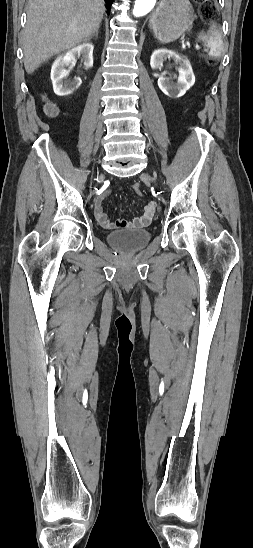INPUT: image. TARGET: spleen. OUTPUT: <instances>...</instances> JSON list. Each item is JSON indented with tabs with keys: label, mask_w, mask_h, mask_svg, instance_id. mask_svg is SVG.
Segmentation results:
<instances>
[{
	"label": "spleen",
	"mask_w": 253,
	"mask_h": 548,
	"mask_svg": "<svg viewBox=\"0 0 253 548\" xmlns=\"http://www.w3.org/2000/svg\"><path fill=\"white\" fill-rule=\"evenodd\" d=\"M198 38L210 49L208 52L210 57H221L223 52V41L215 23L210 26L207 34L201 33Z\"/></svg>",
	"instance_id": "obj_1"
}]
</instances>
